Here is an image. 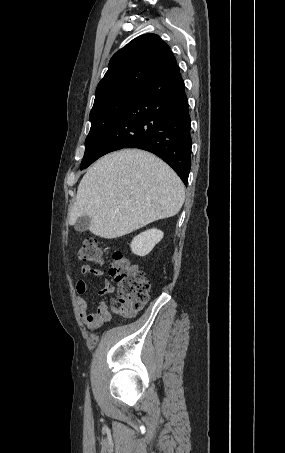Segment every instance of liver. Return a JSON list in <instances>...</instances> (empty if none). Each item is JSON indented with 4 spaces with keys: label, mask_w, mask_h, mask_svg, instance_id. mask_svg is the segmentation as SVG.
Wrapping results in <instances>:
<instances>
[{
    "label": "liver",
    "mask_w": 285,
    "mask_h": 453,
    "mask_svg": "<svg viewBox=\"0 0 285 453\" xmlns=\"http://www.w3.org/2000/svg\"><path fill=\"white\" fill-rule=\"evenodd\" d=\"M184 199V185L166 163L149 152L124 149L100 158L83 176L69 224L89 216L91 233L113 239L175 216Z\"/></svg>",
    "instance_id": "obj_1"
}]
</instances>
